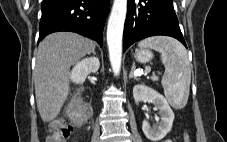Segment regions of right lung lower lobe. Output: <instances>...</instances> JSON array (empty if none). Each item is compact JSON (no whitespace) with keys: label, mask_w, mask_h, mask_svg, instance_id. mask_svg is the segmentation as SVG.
<instances>
[{"label":"right lung lower lobe","mask_w":227,"mask_h":142,"mask_svg":"<svg viewBox=\"0 0 227 142\" xmlns=\"http://www.w3.org/2000/svg\"><path fill=\"white\" fill-rule=\"evenodd\" d=\"M40 42L46 35L69 31L91 38L102 46V32L109 0H43Z\"/></svg>","instance_id":"right-lung-lower-lobe-1"}]
</instances>
